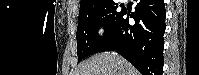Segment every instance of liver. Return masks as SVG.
Masks as SVG:
<instances>
[{
  "mask_svg": "<svg viewBox=\"0 0 199 75\" xmlns=\"http://www.w3.org/2000/svg\"><path fill=\"white\" fill-rule=\"evenodd\" d=\"M76 75H139L125 59L115 53H101L79 65Z\"/></svg>",
  "mask_w": 199,
  "mask_h": 75,
  "instance_id": "1",
  "label": "liver"
}]
</instances>
